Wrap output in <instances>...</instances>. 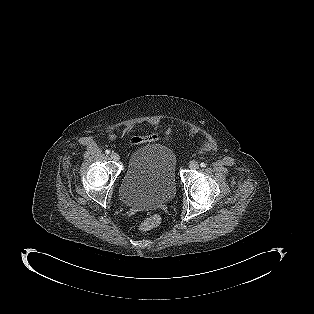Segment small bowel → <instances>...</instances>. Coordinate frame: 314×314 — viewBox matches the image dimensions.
I'll return each instance as SVG.
<instances>
[{"label":"small bowel","mask_w":314,"mask_h":314,"mask_svg":"<svg viewBox=\"0 0 314 314\" xmlns=\"http://www.w3.org/2000/svg\"><path fill=\"white\" fill-rule=\"evenodd\" d=\"M171 132H172L171 128H167L164 132V138L168 139L171 135ZM158 138H159V136L157 134H154V133L147 134L145 136H136L130 140V145L134 146V145H137V144L142 143V142H154V141L158 140Z\"/></svg>","instance_id":"c3829d8e"}]
</instances>
